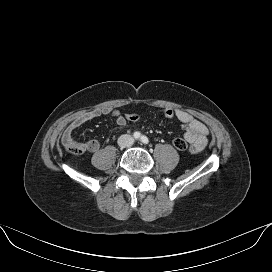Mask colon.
Segmentation results:
<instances>
[{"label":"colon","instance_id":"5ec220e1","mask_svg":"<svg viewBox=\"0 0 272 272\" xmlns=\"http://www.w3.org/2000/svg\"><path fill=\"white\" fill-rule=\"evenodd\" d=\"M162 114L165 118H168V119H171L175 116L174 110L170 109V108L163 109ZM125 119L129 122L134 123V122L139 121L140 116L137 113H128L125 115ZM173 146L178 150H185V149H187L188 144L183 139L176 138L173 140ZM68 149L74 153H79L81 151L80 149L73 147V146L68 147Z\"/></svg>","mask_w":272,"mask_h":272}]
</instances>
